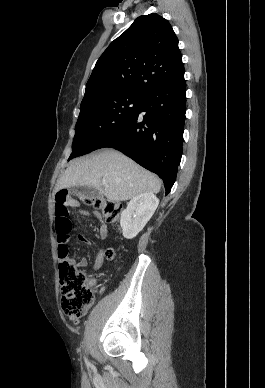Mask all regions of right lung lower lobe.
Returning <instances> with one entry per match:
<instances>
[{
	"instance_id": "right-lung-lower-lobe-1",
	"label": "right lung lower lobe",
	"mask_w": 265,
	"mask_h": 388,
	"mask_svg": "<svg viewBox=\"0 0 265 388\" xmlns=\"http://www.w3.org/2000/svg\"><path fill=\"white\" fill-rule=\"evenodd\" d=\"M184 76L147 91L138 109L99 148L126 154L164 181L166 195L177 175L182 156L186 113Z\"/></svg>"
}]
</instances>
